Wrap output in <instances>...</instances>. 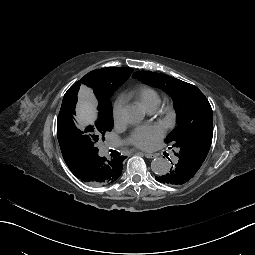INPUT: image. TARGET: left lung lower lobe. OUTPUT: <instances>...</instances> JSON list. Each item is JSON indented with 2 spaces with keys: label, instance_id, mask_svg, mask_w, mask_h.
Instances as JSON below:
<instances>
[{
  "label": "left lung lower lobe",
  "instance_id": "0a47b994",
  "mask_svg": "<svg viewBox=\"0 0 255 255\" xmlns=\"http://www.w3.org/2000/svg\"><path fill=\"white\" fill-rule=\"evenodd\" d=\"M193 178V173L189 169H184L181 163H176L171 167V170L162 175H158L156 180L160 183L171 184L174 182L180 187H185L188 185L189 181Z\"/></svg>",
  "mask_w": 255,
  "mask_h": 255
}]
</instances>
